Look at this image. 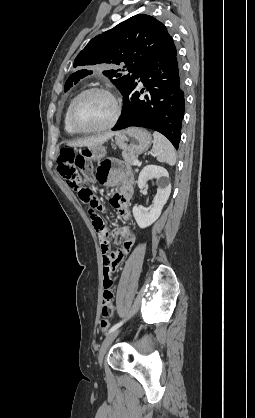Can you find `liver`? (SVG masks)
I'll return each mask as SVG.
<instances>
[{"mask_svg": "<svg viewBox=\"0 0 255 418\" xmlns=\"http://www.w3.org/2000/svg\"><path fill=\"white\" fill-rule=\"evenodd\" d=\"M115 132H108L102 135L88 137L84 139H79L76 141H70L67 143L68 146L71 147H96L102 146L106 141H108L111 137L116 135Z\"/></svg>", "mask_w": 255, "mask_h": 418, "instance_id": "6515ba94", "label": "liver"}]
</instances>
